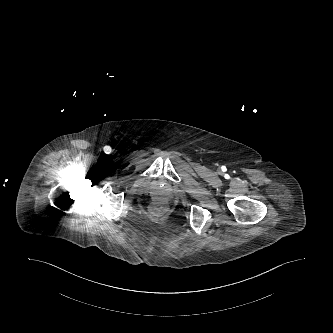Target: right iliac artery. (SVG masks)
<instances>
[{"label":"right iliac artery","instance_id":"1","mask_svg":"<svg viewBox=\"0 0 333 333\" xmlns=\"http://www.w3.org/2000/svg\"><path fill=\"white\" fill-rule=\"evenodd\" d=\"M103 150H104V152H105L106 154H110V152H111V147H110V146H105V147L103 148Z\"/></svg>","mask_w":333,"mask_h":333}]
</instances>
